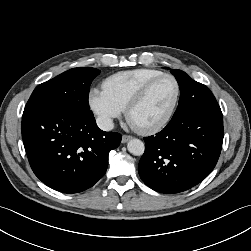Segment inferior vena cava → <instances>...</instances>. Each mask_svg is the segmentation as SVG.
I'll return each instance as SVG.
<instances>
[{"label":"inferior vena cava","instance_id":"obj_1","mask_svg":"<svg viewBox=\"0 0 251 251\" xmlns=\"http://www.w3.org/2000/svg\"><path fill=\"white\" fill-rule=\"evenodd\" d=\"M96 121L98 127L103 131H110L114 128L113 120L109 117L101 116Z\"/></svg>","mask_w":251,"mask_h":251}]
</instances>
